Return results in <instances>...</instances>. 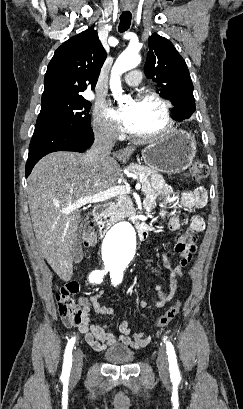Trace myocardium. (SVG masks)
<instances>
[{"mask_svg": "<svg viewBox=\"0 0 243 409\" xmlns=\"http://www.w3.org/2000/svg\"><path fill=\"white\" fill-rule=\"evenodd\" d=\"M154 100L159 103L163 110L164 125L161 129L156 132L148 134H133L130 133V137L139 142H146L155 140L164 134L168 133L174 126V119L172 115L171 103L164 98L161 94L154 90H143L139 92L136 96V101Z\"/></svg>", "mask_w": 243, "mask_h": 409, "instance_id": "myocardium-1", "label": "myocardium"}]
</instances>
